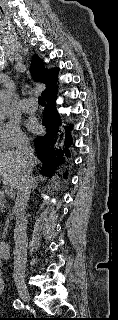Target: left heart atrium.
Segmentation results:
<instances>
[{
    "instance_id": "39dd6f15",
    "label": "left heart atrium",
    "mask_w": 118,
    "mask_h": 320,
    "mask_svg": "<svg viewBox=\"0 0 118 320\" xmlns=\"http://www.w3.org/2000/svg\"><path fill=\"white\" fill-rule=\"evenodd\" d=\"M28 128L31 130V131H37L39 129V124L38 122L35 120V119H30L28 121Z\"/></svg>"
}]
</instances>
